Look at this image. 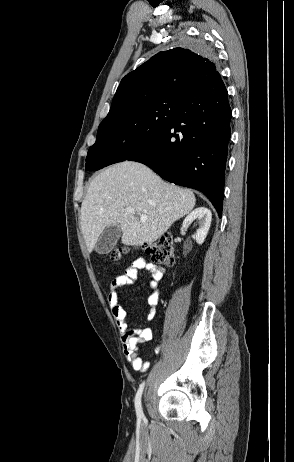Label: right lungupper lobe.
<instances>
[{
  "instance_id": "1",
  "label": "right lung upper lobe",
  "mask_w": 294,
  "mask_h": 462,
  "mask_svg": "<svg viewBox=\"0 0 294 462\" xmlns=\"http://www.w3.org/2000/svg\"><path fill=\"white\" fill-rule=\"evenodd\" d=\"M220 78L213 54L184 48L160 52L122 79L109 113L163 95L185 97Z\"/></svg>"
}]
</instances>
